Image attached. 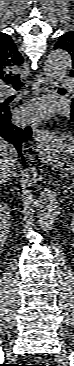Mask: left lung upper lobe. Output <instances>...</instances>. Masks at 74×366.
Wrapping results in <instances>:
<instances>
[{"label":"left lung upper lobe","instance_id":"obj_1","mask_svg":"<svg viewBox=\"0 0 74 366\" xmlns=\"http://www.w3.org/2000/svg\"><path fill=\"white\" fill-rule=\"evenodd\" d=\"M55 49L61 48L66 50L72 57V68L73 70L70 72V76L74 77V32H67L62 35L58 42L56 43ZM74 100V98L72 99Z\"/></svg>","mask_w":74,"mask_h":366}]
</instances>
